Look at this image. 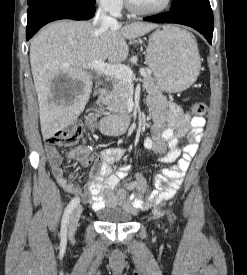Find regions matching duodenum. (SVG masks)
Segmentation results:
<instances>
[{"mask_svg": "<svg viewBox=\"0 0 247 275\" xmlns=\"http://www.w3.org/2000/svg\"><path fill=\"white\" fill-rule=\"evenodd\" d=\"M105 99L106 92L103 90L99 91L96 95L95 104L89 112V117L97 120L98 125L104 134L112 136L121 135L128 129L132 121V114L125 112L119 115L99 118L96 110L99 105H102L105 102Z\"/></svg>", "mask_w": 247, "mask_h": 275, "instance_id": "1", "label": "duodenum"}]
</instances>
